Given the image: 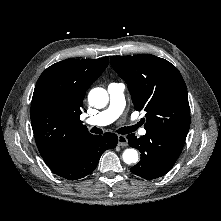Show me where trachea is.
<instances>
[{"mask_svg":"<svg viewBox=\"0 0 221 221\" xmlns=\"http://www.w3.org/2000/svg\"><path fill=\"white\" fill-rule=\"evenodd\" d=\"M135 130H136V126L122 127V128H119L117 130V133H119V134H128V133H131ZM91 132L96 133V134H102L103 131L101 129L97 128V127H93L91 129Z\"/></svg>","mask_w":221,"mask_h":221,"instance_id":"obj_1","label":"trachea"}]
</instances>
